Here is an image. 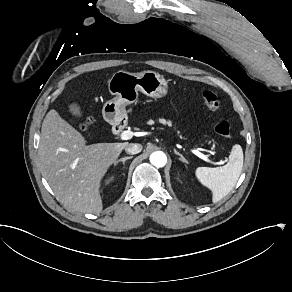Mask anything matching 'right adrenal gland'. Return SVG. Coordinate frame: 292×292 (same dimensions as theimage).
<instances>
[{"label": "right adrenal gland", "mask_w": 292, "mask_h": 292, "mask_svg": "<svg viewBox=\"0 0 292 292\" xmlns=\"http://www.w3.org/2000/svg\"><path fill=\"white\" fill-rule=\"evenodd\" d=\"M132 158H133V156H129V157L121 158V159H119L118 161H116V162L114 163V165L116 166L119 162H122L123 165H125V161L128 160V159H132ZM123 175L125 176V174H123Z\"/></svg>", "instance_id": "2a0ac1e0"}]
</instances>
